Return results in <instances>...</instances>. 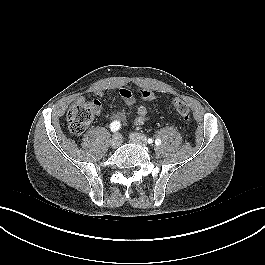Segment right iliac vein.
<instances>
[{
    "instance_id": "right-iliac-vein-1",
    "label": "right iliac vein",
    "mask_w": 265,
    "mask_h": 265,
    "mask_svg": "<svg viewBox=\"0 0 265 265\" xmlns=\"http://www.w3.org/2000/svg\"><path fill=\"white\" fill-rule=\"evenodd\" d=\"M122 143V136L120 134H115L110 140V146L114 149L118 148Z\"/></svg>"
}]
</instances>
